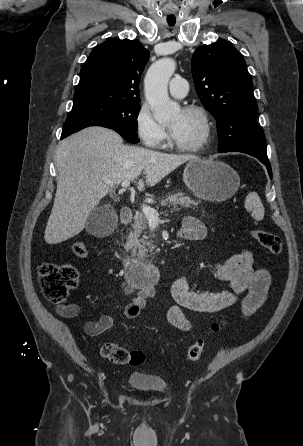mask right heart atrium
<instances>
[{
    "label": "right heart atrium",
    "instance_id": "d8ad5b80",
    "mask_svg": "<svg viewBox=\"0 0 303 446\" xmlns=\"http://www.w3.org/2000/svg\"><path fill=\"white\" fill-rule=\"evenodd\" d=\"M136 133L140 141L149 148H160L167 139L165 128L154 118L147 105H141L135 116Z\"/></svg>",
    "mask_w": 303,
    "mask_h": 446
}]
</instances>
